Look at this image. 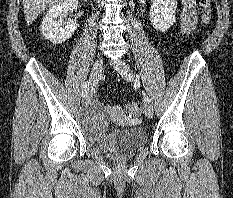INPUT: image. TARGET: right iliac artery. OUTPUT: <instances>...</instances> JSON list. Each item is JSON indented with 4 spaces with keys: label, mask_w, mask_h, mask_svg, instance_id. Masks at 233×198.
I'll return each instance as SVG.
<instances>
[{
    "label": "right iliac artery",
    "mask_w": 233,
    "mask_h": 198,
    "mask_svg": "<svg viewBox=\"0 0 233 198\" xmlns=\"http://www.w3.org/2000/svg\"><path fill=\"white\" fill-rule=\"evenodd\" d=\"M89 81L85 82L83 87H82V96L84 97L85 94L87 93L88 87H89Z\"/></svg>",
    "instance_id": "82829eb1"
}]
</instances>
